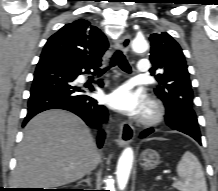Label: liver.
<instances>
[{"instance_id":"liver-1","label":"liver","mask_w":218,"mask_h":191,"mask_svg":"<svg viewBox=\"0 0 218 191\" xmlns=\"http://www.w3.org/2000/svg\"><path fill=\"white\" fill-rule=\"evenodd\" d=\"M99 156L86 124L64 110H47L24 129L13 183L21 188L60 187L94 170Z\"/></svg>"}]
</instances>
